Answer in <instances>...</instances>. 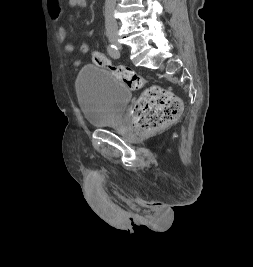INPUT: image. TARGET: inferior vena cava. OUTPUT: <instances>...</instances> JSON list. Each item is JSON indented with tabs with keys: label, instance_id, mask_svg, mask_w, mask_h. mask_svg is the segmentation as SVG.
Returning <instances> with one entry per match:
<instances>
[{
	"label": "inferior vena cava",
	"instance_id": "602c4592",
	"mask_svg": "<svg viewBox=\"0 0 253 267\" xmlns=\"http://www.w3.org/2000/svg\"><path fill=\"white\" fill-rule=\"evenodd\" d=\"M115 6H116V0H105V28L106 30H112V28H117V22L114 16Z\"/></svg>",
	"mask_w": 253,
	"mask_h": 267
}]
</instances>
